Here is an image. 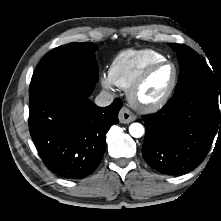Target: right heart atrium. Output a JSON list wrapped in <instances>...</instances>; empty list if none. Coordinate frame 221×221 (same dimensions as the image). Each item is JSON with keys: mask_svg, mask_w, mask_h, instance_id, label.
<instances>
[{"mask_svg": "<svg viewBox=\"0 0 221 221\" xmlns=\"http://www.w3.org/2000/svg\"><path fill=\"white\" fill-rule=\"evenodd\" d=\"M101 84L103 87L107 89H111L114 85L113 81L109 77V75H102L101 76Z\"/></svg>", "mask_w": 221, "mask_h": 221, "instance_id": "right-heart-atrium-1", "label": "right heart atrium"}]
</instances>
